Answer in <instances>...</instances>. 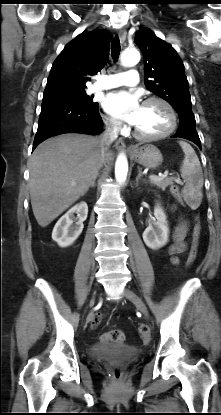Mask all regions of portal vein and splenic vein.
<instances>
[{"mask_svg":"<svg viewBox=\"0 0 221 415\" xmlns=\"http://www.w3.org/2000/svg\"><path fill=\"white\" fill-rule=\"evenodd\" d=\"M168 171H166V172H164L163 174H159L158 176L157 175H150L149 176V178L151 179V180H157V179H159V178H164V177H167L168 176ZM173 179L177 182V183H181V180H180V178L179 177H173Z\"/></svg>","mask_w":221,"mask_h":415,"instance_id":"portal-vein-and-splenic-vein-1","label":"portal vein and splenic vein"}]
</instances>
